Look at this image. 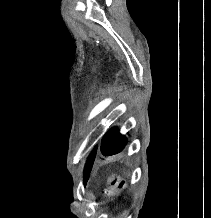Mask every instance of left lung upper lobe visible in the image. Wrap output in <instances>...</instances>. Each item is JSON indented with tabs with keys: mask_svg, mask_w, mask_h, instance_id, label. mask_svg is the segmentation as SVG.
<instances>
[{
	"mask_svg": "<svg viewBox=\"0 0 211 218\" xmlns=\"http://www.w3.org/2000/svg\"><path fill=\"white\" fill-rule=\"evenodd\" d=\"M126 144H127L126 137L124 135H121L118 129L113 128L110 131H108L104 136L102 140L101 150L104 155H113L120 152L125 147ZM96 150L97 147L94 148L85 165L84 182H86L89 176L93 161L96 156Z\"/></svg>",
	"mask_w": 211,
	"mask_h": 218,
	"instance_id": "5c2ea615",
	"label": "left lung upper lobe"
}]
</instances>
